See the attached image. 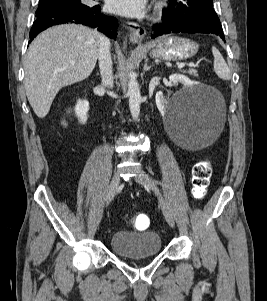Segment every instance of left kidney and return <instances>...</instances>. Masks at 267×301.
I'll use <instances>...</instances> for the list:
<instances>
[{
    "label": "left kidney",
    "instance_id": "obj_1",
    "mask_svg": "<svg viewBox=\"0 0 267 301\" xmlns=\"http://www.w3.org/2000/svg\"><path fill=\"white\" fill-rule=\"evenodd\" d=\"M169 80L172 83H181L185 88L186 87H193L194 85H197V83H194L190 81L186 76L180 75V74H173L169 76ZM156 104L160 111H164L166 107V100L163 98L162 93L159 92L156 95Z\"/></svg>",
    "mask_w": 267,
    "mask_h": 301
}]
</instances>
